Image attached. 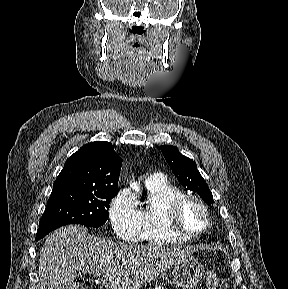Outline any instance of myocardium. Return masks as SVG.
<instances>
[{
	"label": "myocardium",
	"mask_w": 288,
	"mask_h": 289,
	"mask_svg": "<svg viewBox=\"0 0 288 289\" xmlns=\"http://www.w3.org/2000/svg\"><path fill=\"white\" fill-rule=\"evenodd\" d=\"M188 201L197 203L203 210L206 217L204 229L197 233H191L185 230L179 222V210ZM165 220L168 227L176 234L186 239H196L206 234L211 228V215L207 204L199 196L183 193L171 199L165 207Z\"/></svg>",
	"instance_id": "1"
}]
</instances>
